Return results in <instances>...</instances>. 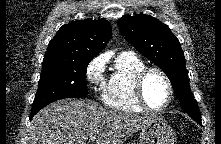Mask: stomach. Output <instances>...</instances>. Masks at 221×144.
<instances>
[{
    "mask_svg": "<svg viewBox=\"0 0 221 144\" xmlns=\"http://www.w3.org/2000/svg\"><path fill=\"white\" fill-rule=\"evenodd\" d=\"M174 141L172 127L162 118H155L143 127L139 136V144H174Z\"/></svg>",
    "mask_w": 221,
    "mask_h": 144,
    "instance_id": "stomach-1",
    "label": "stomach"
}]
</instances>
